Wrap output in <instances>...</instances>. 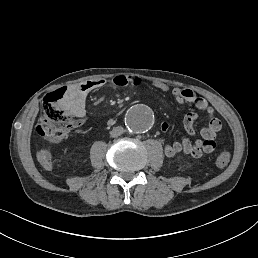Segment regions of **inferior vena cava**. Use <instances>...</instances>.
<instances>
[{
  "mask_svg": "<svg viewBox=\"0 0 258 258\" xmlns=\"http://www.w3.org/2000/svg\"><path fill=\"white\" fill-rule=\"evenodd\" d=\"M123 128L120 127V126H117L115 128H113L111 131H110V136L115 138V137H118L120 136L122 133H123Z\"/></svg>",
  "mask_w": 258,
  "mask_h": 258,
  "instance_id": "inferior-vena-cava-1",
  "label": "inferior vena cava"
}]
</instances>
